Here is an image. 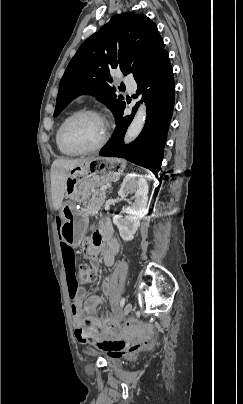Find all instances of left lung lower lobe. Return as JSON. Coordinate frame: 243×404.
<instances>
[{"instance_id":"left-lung-lower-lobe-1","label":"left lung lower lobe","mask_w":243,"mask_h":404,"mask_svg":"<svg viewBox=\"0 0 243 404\" xmlns=\"http://www.w3.org/2000/svg\"><path fill=\"white\" fill-rule=\"evenodd\" d=\"M137 94H143L147 104V119L139 137L131 144H123L124 134L131 123L136 108L130 116L116 121L113 137L99 152L100 156L125 158L137 165L158 173L163 159L167 131L175 100V83L168 53H164L137 80Z\"/></svg>"}]
</instances>
